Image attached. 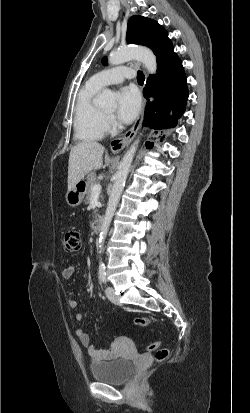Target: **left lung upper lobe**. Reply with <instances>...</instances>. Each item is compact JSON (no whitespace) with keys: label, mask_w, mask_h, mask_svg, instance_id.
<instances>
[{"label":"left lung upper lobe","mask_w":250,"mask_h":413,"mask_svg":"<svg viewBox=\"0 0 250 413\" xmlns=\"http://www.w3.org/2000/svg\"><path fill=\"white\" fill-rule=\"evenodd\" d=\"M126 42L128 44H139L154 50H161L167 43H171L167 31L156 21L132 16L128 21ZM103 65H107V59H102Z\"/></svg>","instance_id":"obj_1"}]
</instances>
